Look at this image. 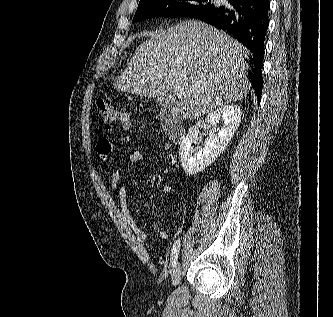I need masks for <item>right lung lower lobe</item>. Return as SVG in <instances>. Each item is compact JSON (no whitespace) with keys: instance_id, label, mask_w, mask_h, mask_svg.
Instances as JSON below:
<instances>
[{"instance_id":"98d812e1","label":"right lung lower lobe","mask_w":333,"mask_h":317,"mask_svg":"<svg viewBox=\"0 0 333 317\" xmlns=\"http://www.w3.org/2000/svg\"><path fill=\"white\" fill-rule=\"evenodd\" d=\"M229 3L230 7L215 6L201 11L193 18L228 32L252 52L255 69L250 75V81L259 103L263 85L261 67L264 41L269 25L270 2L269 0H229Z\"/></svg>"}]
</instances>
